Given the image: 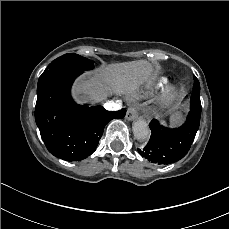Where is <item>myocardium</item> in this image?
Instances as JSON below:
<instances>
[{
  "mask_svg": "<svg viewBox=\"0 0 229 229\" xmlns=\"http://www.w3.org/2000/svg\"><path fill=\"white\" fill-rule=\"evenodd\" d=\"M175 93H176V88H172L170 97H171V98L174 97Z\"/></svg>",
  "mask_w": 229,
  "mask_h": 229,
  "instance_id": "myocardium-1",
  "label": "myocardium"
}]
</instances>
